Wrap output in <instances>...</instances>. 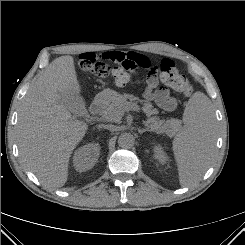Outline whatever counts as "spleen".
<instances>
[{"label": "spleen", "mask_w": 245, "mask_h": 245, "mask_svg": "<svg viewBox=\"0 0 245 245\" xmlns=\"http://www.w3.org/2000/svg\"><path fill=\"white\" fill-rule=\"evenodd\" d=\"M214 111L211 100L195 92L183 113V129L173 141L182 186L196 183L209 167L215 146Z\"/></svg>", "instance_id": "1"}]
</instances>
